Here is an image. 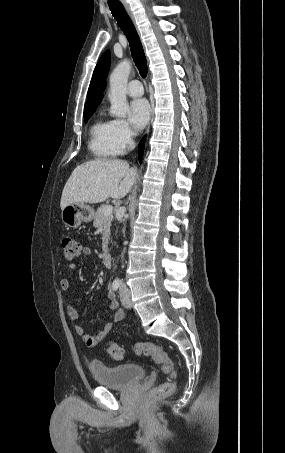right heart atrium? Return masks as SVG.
<instances>
[{
	"label": "right heart atrium",
	"mask_w": 285,
	"mask_h": 453,
	"mask_svg": "<svg viewBox=\"0 0 285 453\" xmlns=\"http://www.w3.org/2000/svg\"><path fill=\"white\" fill-rule=\"evenodd\" d=\"M113 137L118 153L124 152L133 141V131L123 119L112 120Z\"/></svg>",
	"instance_id": "right-heart-atrium-1"
}]
</instances>
